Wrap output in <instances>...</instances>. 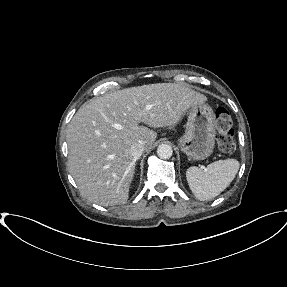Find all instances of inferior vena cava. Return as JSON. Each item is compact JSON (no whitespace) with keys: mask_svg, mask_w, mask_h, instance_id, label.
Wrapping results in <instances>:
<instances>
[{"mask_svg":"<svg viewBox=\"0 0 287 287\" xmlns=\"http://www.w3.org/2000/svg\"><path fill=\"white\" fill-rule=\"evenodd\" d=\"M144 150V144L142 142H138L132 145V147L130 148V154L135 160H137L140 158Z\"/></svg>","mask_w":287,"mask_h":287,"instance_id":"602c4592","label":"inferior vena cava"}]
</instances>
